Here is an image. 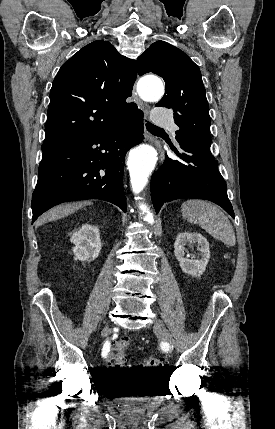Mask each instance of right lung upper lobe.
Returning a JSON list of instances; mask_svg holds the SVG:
<instances>
[{
    "label": "right lung upper lobe",
    "instance_id": "right-lung-upper-lobe-1",
    "mask_svg": "<svg viewBox=\"0 0 275 429\" xmlns=\"http://www.w3.org/2000/svg\"><path fill=\"white\" fill-rule=\"evenodd\" d=\"M135 61L108 41H94L65 62L50 91L42 151L113 126L134 114L127 103L136 80Z\"/></svg>",
    "mask_w": 275,
    "mask_h": 429
}]
</instances>
